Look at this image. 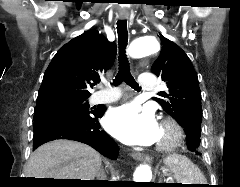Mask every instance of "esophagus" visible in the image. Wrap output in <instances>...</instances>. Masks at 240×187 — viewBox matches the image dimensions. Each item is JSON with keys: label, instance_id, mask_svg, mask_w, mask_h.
Listing matches in <instances>:
<instances>
[{"label": "esophagus", "instance_id": "1", "mask_svg": "<svg viewBox=\"0 0 240 187\" xmlns=\"http://www.w3.org/2000/svg\"><path fill=\"white\" fill-rule=\"evenodd\" d=\"M120 19L121 20H126V19H128V16L121 15ZM131 156L133 157V159H135L137 161H143V162H150L151 161V157L148 154H144L140 150L133 151L131 153Z\"/></svg>", "mask_w": 240, "mask_h": 187}]
</instances>
